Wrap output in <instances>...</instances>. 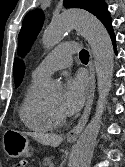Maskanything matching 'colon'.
<instances>
[{"label": "colon", "instance_id": "colon-1", "mask_svg": "<svg viewBox=\"0 0 125 167\" xmlns=\"http://www.w3.org/2000/svg\"><path fill=\"white\" fill-rule=\"evenodd\" d=\"M11 167H26V164L25 162L21 161V162L14 163Z\"/></svg>", "mask_w": 125, "mask_h": 167}]
</instances>
